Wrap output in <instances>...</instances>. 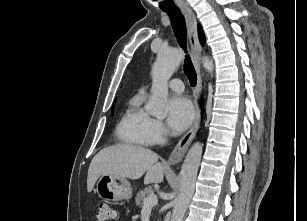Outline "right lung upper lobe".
Returning <instances> with one entry per match:
<instances>
[{"label": "right lung upper lobe", "instance_id": "cb5924a9", "mask_svg": "<svg viewBox=\"0 0 307 221\" xmlns=\"http://www.w3.org/2000/svg\"><path fill=\"white\" fill-rule=\"evenodd\" d=\"M198 32H199L200 42L201 44H204L205 38H204V33H203L201 26L198 27Z\"/></svg>", "mask_w": 307, "mask_h": 221}]
</instances>
